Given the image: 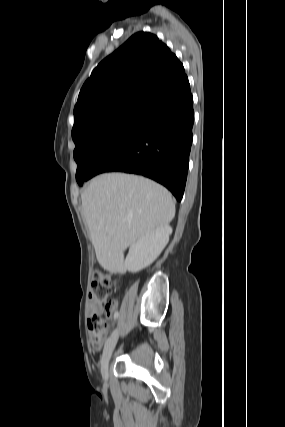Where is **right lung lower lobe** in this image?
Returning a JSON list of instances; mask_svg holds the SVG:
<instances>
[{
	"label": "right lung lower lobe",
	"instance_id": "right-lung-lower-lobe-1",
	"mask_svg": "<svg viewBox=\"0 0 285 427\" xmlns=\"http://www.w3.org/2000/svg\"><path fill=\"white\" fill-rule=\"evenodd\" d=\"M193 122V97L184 74L147 100L138 118L86 180L111 171L139 174L161 183L181 201Z\"/></svg>",
	"mask_w": 285,
	"mask_h": 427
}]
</instances>
